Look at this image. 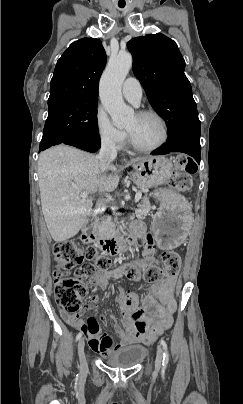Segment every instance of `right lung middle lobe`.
Wrapping results in <instances>:
<instances>
[{
    "mask_svg": "<svg viewBox=\"0 0 243 404\" xmlns=\"http://www.w3.org/2000/svg\"><path fill=\"white\" fill-rule=\"evenodd\" d=\"M97 103L98 100L65 101L48 106L39 150L63 143L65 139L74 136L100 140Z\"/></svg>",
    "mask_w": 243,
    "mask_h": 404,
    "instance_id": "right-lung-middle-lobe-1",
    "label": "right lung middle lobe"
}]
</instances>
